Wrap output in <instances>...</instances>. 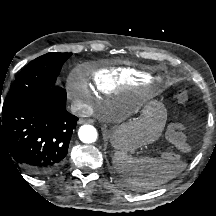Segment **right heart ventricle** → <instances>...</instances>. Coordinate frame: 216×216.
Here are the masks:
<instances>
[{
    "mask_svg": "<svg viewBox=\"0 0 216 216\" xmlns=\"http://www.w3.org/2000/svg\"><path fill=\"white\" fill-rule=\"evenodd\" d=\"M99 93L110 94L121 88H136L144 81L142 75L124 67L102 68L92 74Z\"/></svg>",
    "mask_w": 216,
    "mask_h": 216,
    "instance_id": "obj_1",
    "label": "right heart ventricle"
}]
</instances>
